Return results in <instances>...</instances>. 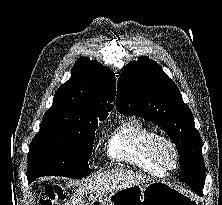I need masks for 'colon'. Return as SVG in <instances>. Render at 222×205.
<instances>
[{"mask_svg": "<svg viewBox=\"0 0 222 205\" xmlns=\"http://www.w3.org/2000/svg\"><path fill=\"white\" fill-rule=\"evenodd\" d=\"M63 190L58 185H49L45 189L41 205H57L63 199Z\"/></svg>", "mask_w": 222, "mask_h": 205, "instance_id": "obj_1", "label": "colon"}]
</instances>
